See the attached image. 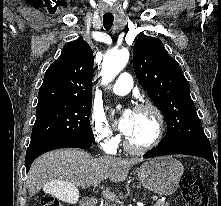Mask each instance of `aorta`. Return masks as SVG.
Listing matches in <instances>:
<instances>
[{
    "instance_id": "aorta-1",
    "label": "aorta",
    "mask_w": 221,
    "mask_h": 206,
    "mask_svg": "<svg viewBox=\"0 0 221 206\" xmlns=\"http://www.w3.org/2000/svg\"><path fill=\"white\" fill-rule=\"evenodd\" d=\"M129 60V51L126 48L109 51L104 57L101 69L102 84L107 85L125 67Z\"/></svg>"
}]
</instances>
